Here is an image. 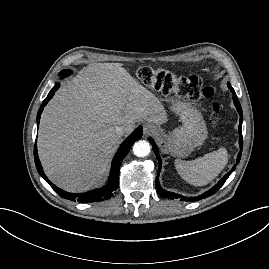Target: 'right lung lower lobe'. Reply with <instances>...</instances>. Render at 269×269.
I'll list each match as a JSON object with an SVG mask.
<instances>
[{
  "label": "right lung lower lobe",
  "mask_w": 269,
  "mask_h": 269,
  "mask_svg": "<svg viewBox=\"0 0 269 269\" xmlns=\"http://www.w3.org/2000/svg\"><path fill=\"white\" fill-rule=\"evenodd\" d=\"M59 87H60V84H56L52 88V90L49 92L48 96L43 101L42 105L40 106L38 114H37V126H39L41 113L44 107L46 106L48 101L53 97L54 93L58 90ZM141 137H142V127L140 126L122 143L116 155L114 156L113 161H112V166H111L109 182L100 189H95L86 193H82V194L68 193L58 188L53 183H51L43 172L40 160L38 158L36 145L34 146L35 165L39 174L49 183V185L61 197L66 198L68 200L77 201L79 203L104 201V200L110 199L114 195L115 191L117 190L119 186V169H120L122 160L125 158V156L129 152L133 143L139 140Z\"/></svg>",
  "instance_id": "right-lung-lower-lobe-1"
}]
</instances>
